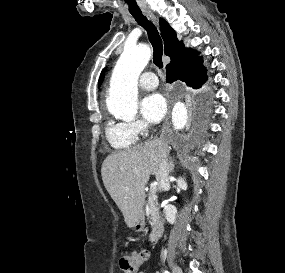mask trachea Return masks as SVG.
Returning a JSON list of instances; mask_svg holds the SVG:
<instances>
[{"instance_id":"3493384b","label":"trachea","mask_w":285,"mask_h":273,"mask_svg":"<svg viewBox=\"0 0 285 273\" xmlns=\"http://www.w3.org/2000/svg\"><path fill=\"white\" fill-rule=\"evenodd\" d=\"M131 15L141 25L148 34L150 43L153 47V63L160 69L163 68L162 55L163 44L159 32L155 25L147 20L142 12H131Z\"/></svg>"}]
</instances>
